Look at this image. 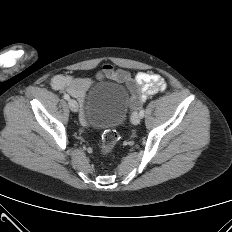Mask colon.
I'll list each match as a JSON object with an SVG mask.
<instances>
[{"instance_id":"obj_1","label":"colon","mask_w":232,"mask_h":232,"mask_svg":"<svg viewBox=\"0 0 232 232\" xmlns=\"http://www.w3.org/2000/svg\"><path fill=\"white\" fill-rule=\"evenodd\" d=\"M118 140V133L114 129L107 130L102 136L100 152L103 156L108 155Z\"/></svg>"}]
</instances>
